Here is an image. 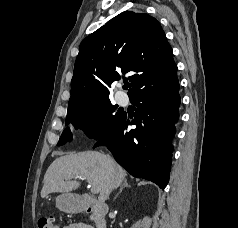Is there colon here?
Listing matches in <instances>:
<instances>
[{"mask_svg": "<svg viewBox=\"0 0 238 228\" xmlns=\"http://www.w3.org/2000/svg\"><path fill=\"white\" fill-rule=\"evenodd\" d=\"M37 226L38 228H58L54 222L46 216H42L38 219Z\"/></svg>", "mask_w": 238, "mask_h": 228, "instance_id": "obj_1", "label": "colon"}]
</instances>
